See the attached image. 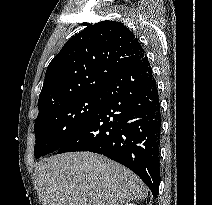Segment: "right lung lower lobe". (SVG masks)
<instances>
[{
	"label": "right lung lower lobe",
	"instance_id": "obj_1",
	"mask_svg": "<svg viewBox=\"0 0 212 205\" xmlns=\"http://www.w3.org/2000/svg\"><path fill=\"white\" fill-rule=\"evenodd\" d=\"M101 92V104L56 151H90L136 173L157 197L160 181V102L147 57L132 64Z\"/></svg>",
	"mask_w": 212,
	"mask_h": 205
}]
</instances>
